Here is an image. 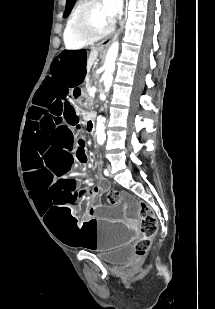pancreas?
I'll list each match as a JSON object with an SVG mask.
<instances>
[{
    "mask_svg": "<svg viewBox=\"0 0 215 309\" xmlns=\"http://www.w3.org/2000/svg\"><path fill=\"white\" fill-rule=\"evenodd\" d=\"M85 86H86L87 92H90V88L92 86V80H86ZM86 102H87L88 106H92V104H95L94 96H86Z\"/></svg>",
    "mask_w": 215,
    "mask_h": 309,
    "instance_id": "pancreas-1",
    "label": "pancreas"
}]
</instances>
